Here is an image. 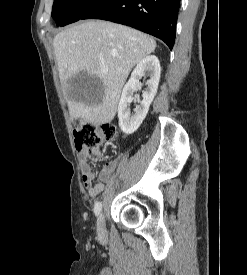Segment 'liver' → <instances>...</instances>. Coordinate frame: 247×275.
I'll return each instance as SVG.
<instances>
[{
    "instance_id": "6515ba94",
    "label": "liver",
    "mask_w": 247,
    "mask_h": 275,
    "mask_svg": "<svg viewBox=\"0 0 247 275\" xmlns=\"http://www.w3.org/2000/svg\"><path fill=\"white\" fill-rule=\"evenodd\" d=\"M53 46L71 120L101 125L114 119L129 73L154 52L156 42L130 27L90 20L59 32ZM102 66L106 72L101 71ZM82 71L100 79L103 88L100 95H82L69 89V79Z\"/></svg>"
}]
</instances>
